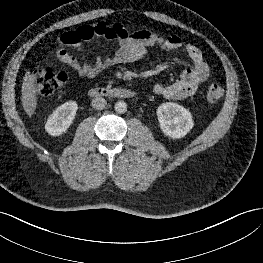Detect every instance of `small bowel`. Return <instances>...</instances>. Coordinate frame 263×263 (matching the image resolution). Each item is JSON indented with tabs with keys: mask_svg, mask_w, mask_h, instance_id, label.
I'll return each instance as SVG.
<instances>
[{
	"mask_svg": "<svg viewBox=\"0 0 263 263\" xmlns=\"http://www.w3.org/2000/svg\"><path fill=\"white\" fill-rule=\"evenodd\" d=\"M96 38L112 42L113 53L89 59L85 53V44ZM67 46L76 48L81 59L71 55L66 50ZM153 46L165 51L183 49L192 63V67L183 70L173 83H156L153 86L155 94L167 99H185L194 95L199 84L209 77L210 68L196 46L184 43L177 35L163 36L147 29L130 33L119 23L98 22L62 34L56 56L59 61L72 68L81 80H85L95 77L113 65L138 61L146 55L147 49Z\"/></svg>",
	"mask_w": 263,
	"mask_h": 263,
	"instance_id": "1",
	"label": "small bowel"
}]
</instances>
